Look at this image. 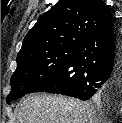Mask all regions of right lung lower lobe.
I'll return each mask as SVG.
<instances>
[{"mask_svg": "<svg viewBox=\"0 0 122 123\" xmlns=\"http://www.w3.org/2000/svg\"><path fill=\"white\" fill-rule=\"evenodd\" d=\"M49 92L89 100L122 97V39L112 20L90 34L73 57L29 93Z\"/></svg>", "mask_w": 122, "mask_h": 123, "instance_id": "98d812e1", "label": "right lung lower lobe"}]
</instances>
